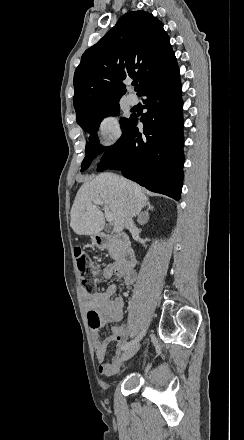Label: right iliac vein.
Here are the masks:
<instances>
[{
  "mask_svg": "<svg viewBox=\"0 0 244 440\" xmlns=\"http://www.w3.org/2000/svg\"><path fill=\"white\" fill-rule=\"evenodd\" d=\"M139 348H140L139 344H135L130 348H128L125 352H123L121 356V361H127L130 358H132L138 352Z\"/></svg>",
  "mask_w": 244,
  "mask_h": 440,
  "instance_id": "1",
  "label": "right iliac vein"
}]
</instances>
